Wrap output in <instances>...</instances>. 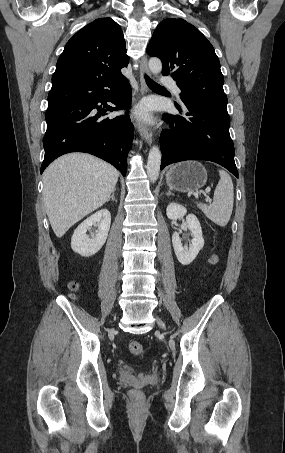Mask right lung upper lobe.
<instances>
[{"mask_svg":"<svg viewBox=\"0 0 285 453\" xmlns=\"http://www.w3.org/2000/svg\"><path fill=\"white\" fill-rule=\"evenodd\" d=\"M129 57L121 27L111 18L96 19L65 45L52 83L64 80L97 82L122 77Z\"/></svg>","mask_w":285,"mask_h":453,"instance_id":"obj_1","label":"right lung upper lobe"}]
</instances>
